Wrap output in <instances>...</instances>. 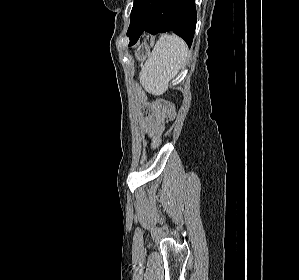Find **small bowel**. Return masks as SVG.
Returning <instances> with one entry per match:
<instances>
[{
	"instance_id": "small-bowel-1",
	"label": "small bowel",
	"mask_w": 299,
	"mask_h": 280,
	"mask_svg": "<svg viewBox=\"0 0 299 280\" xmlns=\"http://www.w3.org/2000/svg\"><path fill=\"white\" fill-rule=\"evenodd\" d=\"M163 125L158 120H149L146 124V131L155 144L163 133Z\"/></svg>"
}]
</instances>
